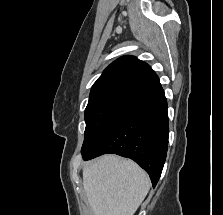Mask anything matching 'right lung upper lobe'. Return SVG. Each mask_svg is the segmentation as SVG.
<instances>
[{
	"mask_svg": "<svg viewBox=\"0 0 223 215\" xmlns=\"http://www.w3.org/2000/svg\"><path fill=\"white\" fill-rule=\"evenodd\" d=\"M160 89L159 78L148 64L133 56H123L104 70L93 84L90 98L112 91H128L146 97Z\"/></svg>",
	"mask_w": 223,
	"mask_h": 215,
	"instance_id": "cb5924a9",
	"label": "right lung upper lobe"
}]
</instances>
